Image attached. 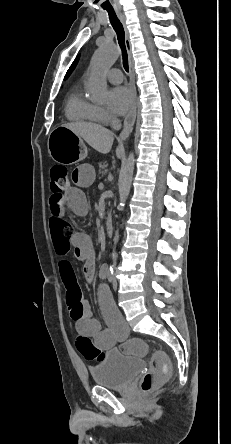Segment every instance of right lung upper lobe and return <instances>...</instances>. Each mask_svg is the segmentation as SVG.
<instances>
[{"instance_id":"cb5924a9","label":"right lung upper lobe","mask_w":231,"mask_h":444,"mask_svg":"<svg viewBox=\"0 0 231 444\" xmlns=\"http://www.w3.org/2000/svg\"><path fill=\"white\" fill-rule=\"evenodd\" d=\"M79 60V56L74 60V62L72 63V65L70 66L69 70L66 73L65 79L68 78V76L71 74V72L74 70V68L76 67V64Z\"/></svg>"}]
</instances>
